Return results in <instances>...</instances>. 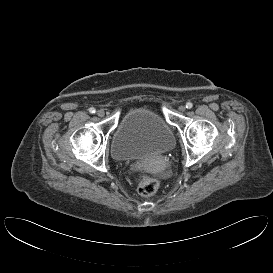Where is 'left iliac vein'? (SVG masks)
I'll list each match as a JSON object with an SVG mask.
<instances>
[{"label":"left iliac vein","instance_id":"obj_1","mask_svg":"<svg viewBox=\"0 0 273 273\" xmlns=\"http://www.w3.org/2000/svg\"><path fill=\"white\" fill-rule=\"evenodd\" d=\"M186 110V107L184 105L179 106V111L184 112Z\"/></svg>","mask_w":273,"mask_h":273}]
</instances>
